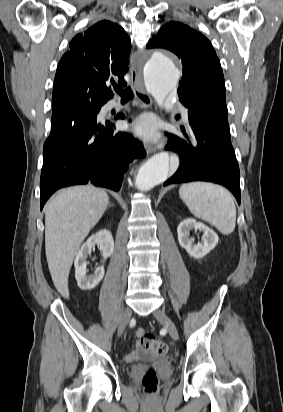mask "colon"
Masks as SVG:
<instances>
[{
  "label": "colon",
  "mask_w": 283,
  "mask_h": 412,
  "mask_svg": "<svg viewBox=\"0 0 283 412\" xmlns=\"http://www.w3.org/2000/svg\"><path fill=\"white\" fill-rule=\"evenodd\" d=\"M141 347L155 356L164 355L167 345L150 334H142L140 337ZM142 387L148 396H154L158 391V377L153 369H149L142 379Z\"/></svg>",
  "instance_id": "obj_1"
}]
</instances>
